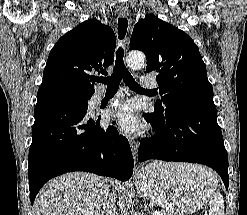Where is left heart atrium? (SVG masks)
<instances>
[{"instance_id": "39dd6f15", "label": "left heart atrium", "mask_w": 247, "mask_h": 215, "mask_svg": "<svg viewBox=\"0 0 247 215\" xmlns=\"http://www.w3.org/2000/svg\"><path fill=\"white\" fill-rule=\"evenodd\" d=\"M111 116L116 120L119 129L125 133H135L143 127L133 102L120 104L111 112Z\"/></svg>"}]
</instances>
